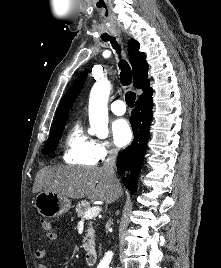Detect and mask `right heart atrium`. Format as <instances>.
Returning a JSON list of instances; mask_svg holds the SVG:
<instances>
[{"mask_svg": "<svg viewBox=\"0 0 221 268\" xmlns=\"http://www.w3.org/2000/svg\"><path fill=\"white\" fill-rule=\"evenodd\" d=\"M94 153L97 162L104 161L116 153V149L107 140H94Z\"/></svg>", "mask_w": 221, "mask_h": 268, "instance_id": "obj_1", "label": "right heart atrium"}]
</instances>
